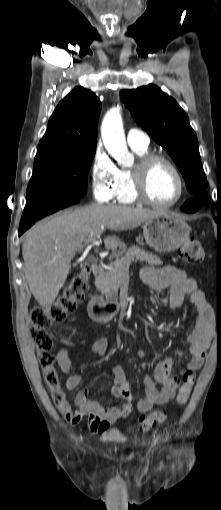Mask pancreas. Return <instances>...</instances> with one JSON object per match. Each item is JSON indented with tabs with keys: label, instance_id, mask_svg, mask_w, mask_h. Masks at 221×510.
I'll list each match as a JSON object with an SVG mask.
<instances>
[{
	"label": "pancreas",
	"instance_id": "1",
	"mask_svg": "<svg viewBox=\"0 0 221 510\" xmlns=\"http://www.w3.org/2000/svg\"><path fill=\"white\" fill-rule=\"evenodd\" d=\"M133 261L146 262L149 265H162V261L156 255L145 251L137 246H131L121 258L111 262L106 271L98 277L97 287L106 296L115 298L120 287V278L124 270H127Z\"/></svg>",
	"mask_w": 221,
	"mask_h": 510
}]
</instances>
